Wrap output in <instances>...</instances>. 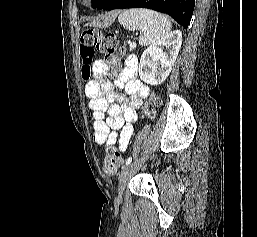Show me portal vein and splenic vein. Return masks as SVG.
<instances>
[{"mask_svg":"<svg viewBox=\"0 0 257 237\" xmlns=\"http://www.w3.org/2000/svg\"><path fill=\"white\" fill-rule=\"evenodd\" d=\"M130 48H135L136 47V43L134 42H129Z\"/></svg>","mask_w":257,"mask_h":237,"instance_id":"18ae733b","label":"portal vein and splenic vein"}]
</instances>
